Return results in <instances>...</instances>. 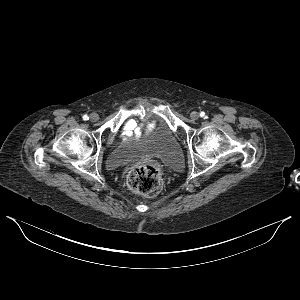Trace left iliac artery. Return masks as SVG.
Returning a JSON list of instances; mask_svg holds the SVG:
<instances>
[{
  "label": "left iliac artery",
  "instance_id": "1",
  "mask_svg": "<svg viewBox=\"0 0 300 300\" xmlns=\"http://www.w3.org/2000/svg\"><path fill=\"white\" fill-rule=\"evenodd\" d=\"M200 116H201V117H204V116H205V112L202 111V112L200 113Z\"/></svg>",
  "mask_w": 300,
  "mask_h": 300
}]
</instances>
